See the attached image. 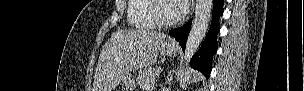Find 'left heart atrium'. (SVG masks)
Returning a JSON list of instances; mask_svg holds the SVG:
<instances>
[{"mask_svg":"<svg viewBox=\"0 0 304 91\" xmlns=\"http://www.w3.org/2000/svg\"><path fill=\"white\" fill-rule=\"evenodd\" d=\"M176 2L178 4V9H179L180 15H184L189 9L190 1H188V0H177Z\"/></svg>","mask_w":304,"mask_h":91,"instance_id":"left-heart-atrium-1","label":"left heart atrium"}]
</instances>
